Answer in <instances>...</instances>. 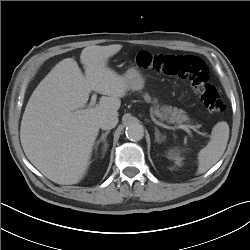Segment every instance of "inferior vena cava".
I'll list each match as a JSON object with an SVG mask.
<instances>
[{
    "label": "inferior vena cava",
    "mask_w": 250,
    "mask_h": 250,
    "mask_svg": "<svg viewBox=\"0 0 250 250\" xmlns=\"http://www.w3.org/2000/svg\"><path fill=\"white\" fill-rule=\"evenodd\" d=\"M118 123V117L115 115L103 116L100 118L98 125L103 130H110Z\"/></svg>",
    "instance_id": "602c4592"
}]
</instances>
